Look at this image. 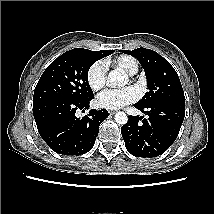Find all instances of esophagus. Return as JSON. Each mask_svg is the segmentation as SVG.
<instances>
[{
  "instance_id": "esophagus-1",
  "label": "esophagus",
  "mask_w": 214,
  "mask_h": 214,
  "mask_svg": "<svg viewBox=\"0 0 214 214\" xmlns=\"http://www.w3.org/2000/svg\"><path fill=\"white\" fill-rule=\"evenodd\" d=\"M109 114L113 115V114H115V111H109Z\"/></svg>"
}]
</instances>
